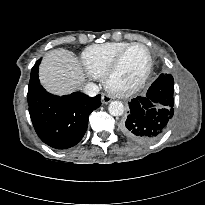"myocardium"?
I'll use <instances>...</instances> for the list:
<instances>
[{"mask_svg": "<svg viewBox=\"0 0 205 205\" xmlns=\"http://www.w3.org/2000/svg\"><path fill=\"white\" fill-rule=\"evenodd\" d=\"M143 47L147 54H148V65L146 70L144 71V73L142 74V76L132 85L130 86H126V87H119V86H115L112 83L113 77L116 74V72L118 71L120 64L124 58V56L127 54V52L132 49L133 47ZM153 69V56L151 53V50L149 49L148 46H146L143 43H131L130 45H128L127 47H125L113 60V62L111 63V65L109 66V68L107 69V71L105 72L104 76H103V84L104 87L106 88V90L114 95L117 96H129L132 95L134 93H136L137 91H139L147 82V80L149 79L151 72Z\"/></svg>", "mask_w": 205, "mask_h": 205, "instance_id": "f54148a6", "label": "myocardium"}]
</instances>
